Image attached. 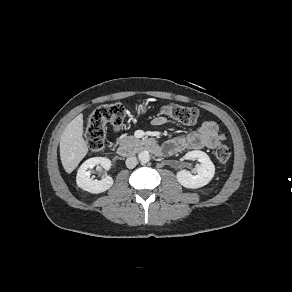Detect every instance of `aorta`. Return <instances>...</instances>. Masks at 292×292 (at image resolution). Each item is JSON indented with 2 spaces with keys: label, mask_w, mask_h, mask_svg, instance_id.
<instances>
[{
  "label": "aorta",
  "mask_w": 292,
  "mask_h": 292,
  "mask_svg": "<svg viewBox=\"0 0 292 292\" xmlns=\"http://www.w3.org/2000/svg\"><path fill=\"white\" fill-rule=\"evenodd\" d=\"M138 159L142 164L149 162L150 160L149 152L146 150L139 152Z\"/></svg>",
  "instance_id": "aorta-1"
}]
</instances>
